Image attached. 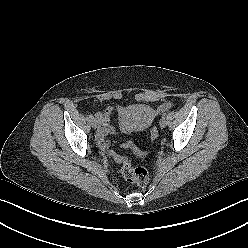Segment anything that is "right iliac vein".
I'll return each mask as SVG.
<instances>
[{
    "instance_id": "obj_1",
    "label": "right iliac vein",
    "mask_w": 248,
    "mask_h": 248,
    "mask_svg": "<svg viewBox=\"0 0 248 248\" xmlns=\"http://www.w3.org/2000/svg\"><path fill=\"white\" fill-rule=\"evenodd\" d=\"M91 125L94 129H96L98 127V121L96 119H92Z\"/></svg>"
}]
</instances>
